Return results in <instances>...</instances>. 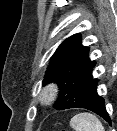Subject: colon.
Returning a JSON list of instances; mask_svg holds the SVG:
<instances>
[{"label": "colon", "instance_id": "colon-1", "mask_svg": "<svg viewBox=\"0 0 117 131\" xmlns=\"http://www.w3.org/2000/svg\"><path fill=\"white\" fill-rule=\"evenodd\" d=\"M59 131H67L66 129H61V130H59Z\"/></svg>", "mask_w": 117, "mask_h": 131}]
</instances>
